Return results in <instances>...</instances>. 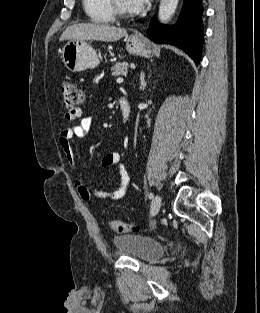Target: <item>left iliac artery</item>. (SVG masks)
I'll return each instance as SVG.
<instances>
[{
    "label": "left iliac artery",
    "instance_id": "44dca946",
    "mask_svg": "<svg viewBox=\"0 0 260 313\" xmlns=\"http://www.w3.org/2000/svg\"><path fill=\"white\" fill-rule=\"evenodd\" d=\"M148 197H149V199H152L154 197L153 193L152 192L149 193Z\"/></svg>",
    "mask_w": 260,
    "mask_h": 313
}]
</instances>
